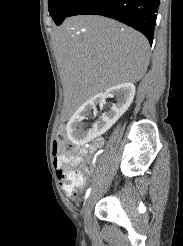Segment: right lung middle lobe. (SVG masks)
I'll return each instance as SVG.
<instances>
[{
	"label": "right lung middle lobe",
	"instance_id": "obj_1",
	"mask_svg": "<svg viewBox=\"0 0 183 246\" xmlns=\"http://www.w3.org/2000/svg\"><path fill=\"white\" fill-rule=\"evenodd\" d=\"M78 1L79 0H49V13L54 19V22L60 25Z\"/></svg>",
	"mask_w": 183,
	"mask_h": 246
}]
</instances>
